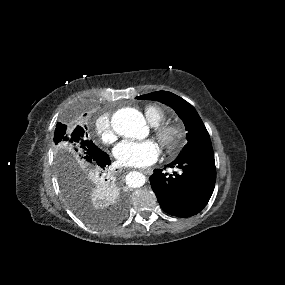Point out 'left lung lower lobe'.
Masks as SVG:
<instances>
[{"label":"left lung lower lobe","mask_w":285,"mask_h":285,"mask_svg":"<svg viewBox=\"0 0 285 285\" xmlns=\"http://www.w3.org/2000/svg\"><path fill=\"white\" fill-rule=\"evenodd\" d=\"M166 167L173 174L155 169L150 183L162 209L170 215L190 217L208 203L216 182L213 151L199 152L175 159Z\"/></svg>","instance_id":"obj_1"}]
</instances>
